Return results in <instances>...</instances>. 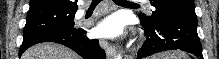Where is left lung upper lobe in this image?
I'll return each mask as SVG.
<instances>
[{"label":"left lung upper lobe","mask_w":219,"mask_h":59,"mask_svg":"<svg viewBox=\"0 0 219 59\" xmlns=\"http://www.w3.org/2000/svg\"><path fill=\"white\" fill-rule=\"evenodd\" d=\"M155 11L151 16L144 13L139 14L140 21L147 23H157L163 19H169L181 13L188 7H194V0H150Z\"/></svg>","instance_id":"1"}]
</instances>
